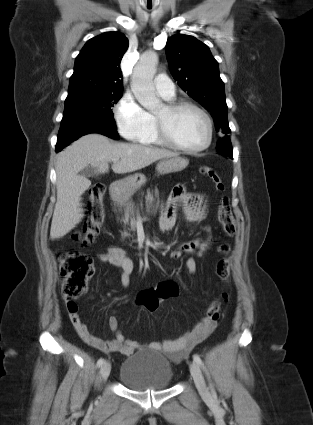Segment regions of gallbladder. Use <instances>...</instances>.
<instances>
[{
  "mask_svg": "<svg viewBox=\"0 0 313 425\" xmlns=\"http://www.w3.org/2000/svg\"><path fill=\"white\" fill-rule=\"evenodd\" d=\"M81 174L86 177H91L95 175V171L91 166H87L81 171Z\"/></svg>",
  "mask_w": 313,
  "mask_h": 425,
  "instance_id": "obj_1",
  "label": "gallbladder"
}]
</instances>
